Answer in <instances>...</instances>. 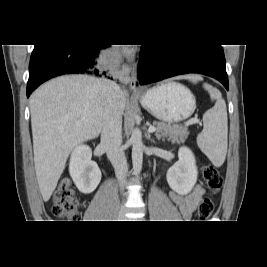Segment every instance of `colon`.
<instances>
[{
  "label": "colon",
  "instance_id": "1",
  "mask_svg": "<svg viewBox=\"0 0 267 267\" xmlns=\"http://www.w3.org/2000/svg\"><path fill=\"white\" fill-rule=\"evenodd\" d=\"M202 175L209 195L200 202L198 217L200 220H206L213 213L214 202L212 196L221 189L223 178L220 172L211 165L203 166ZM52 212L55 216L67 220H77L80 217L79 202L69 180L61 181L54 192Z\"/></svg>",
  "mask_w": 267,
  "mask_h": 267
}]
</instances>
